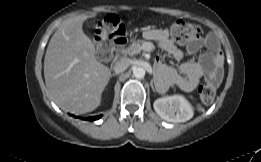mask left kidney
<instances>
[{"label":"left kidney","mask_w":261,"mask_h":162,"mask_svg":"<svg viewBox=\"0 0 261 162\" xmlns=\"http://www.w3.org/2000/svg\"><path fill=\"white\" fill-rule=\"evenodd\" d=\"M156 113L168 122H186L193 117L191 104L182 95H173L155 100L153 104Z\"/></svg>","instance_id":"5707ae66"}]
</instances>
